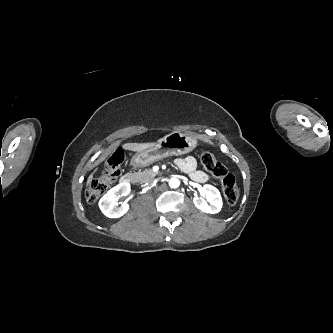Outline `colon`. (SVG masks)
Returning <instances> with one entry per match:
<instances>
[{
	"mask_svg": "<svg viewBox=\"0 0 333 333\" xmlns=\"http://www.w3.org/2000/svg\"><path fill=\"white\" fill-rule=\"evenodd\" d=\"M124 157V150L118 148L108 158L102 175L94 179L87 190L86 196L90 203H96L117 179ZM200 161L203 167L220 181L227 203L234 205L239 198V188L234 175L211 152H202Z\"/></svg>",
	"mask_w": 333,
	"mask_h": 333,
	"instance_id": "obj_1",
	"label": "colon"
}]
</instances>
